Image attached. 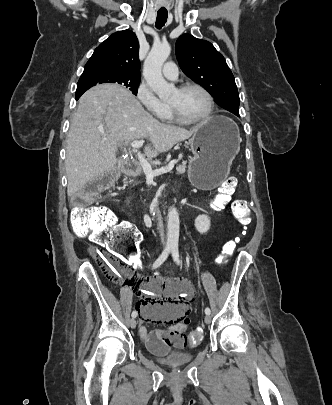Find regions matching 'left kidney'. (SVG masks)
<instances>
[{"mask_svg": "<svg viewBox=\"0 0 332 405\" xmlns=\"http://www.w3.org/2000/svg\"><path fill=\"white\" fill-rule=\"evenodd\" d=\"M195 227L199 233H206L210 228V218L207 215H199L195 219Z\"/></svg>", "mask_w": 332, "mask_h": 405, "instance_id": "obj_1", "label": "left kidney"}]
</instances>
